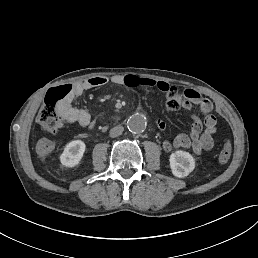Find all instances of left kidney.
Masks as SVG:
<instances>
[{"instance_id":"5707ae66","label":"left kidney","mask_w":258,"mask_h":258,"mask_svg":"<svg viewBox=\"0 0 258 258\" xmlns=\"http://www.w3.org/2000/svg\"><path fill=\"white\" fill-rule=\"evenodd\" d=\"M171 169L175 176H187L194 169V159L189 153L178 151L170 157Z\"/></svg>"}]
</instances>
